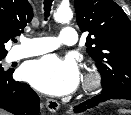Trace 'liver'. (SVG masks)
<instances>
[{
    "mask_svg": "<svg viewBox=\"0 0 131 115\" xmlns=\"http://www.w3.org/2000/svg\"><path fill=\"white\" fill-rule=\"evenodd\" d=\"M0 115H8L5 111L0 109Z\"/></svg>",
    "mask_w": 131,
    "mask_h": 115,
    "instance_id": "liver-1",
    "label": "liver"
}]
</instances>
